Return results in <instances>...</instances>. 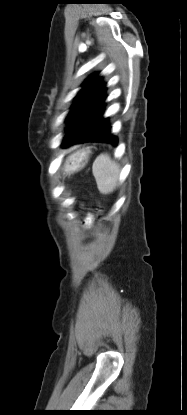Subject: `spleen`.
I'll list each match as a JSON object with an SVG mask.
<instances>
[{
    "instance_id": "3e777b00",
    "label": "spleen",
    "mask_w": 187,
    "mask_h": 415,
    "mask_svg": "<svg viewBox=\"0 0 187 415\" xmlns=\"http://www.w3.org/2000/svg\"><path fill=\"white\" fill-rule=\"evenodd\" d=\"M92 172L101 194L106 195L114 191L118 183L120 169L107 154H101L95 159Z\"/></svg>"
}]
</instances>
